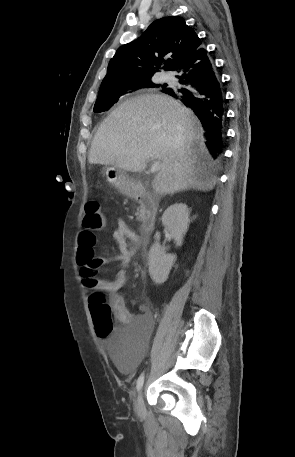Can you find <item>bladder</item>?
<instances>
[{
	"label": "bladder",
	"mask_w": 295,
	"mask_h": 457,
	"mask_svg": "<svg viewBox=\"0 0 295 457\" xmlns=\"http://www.w3.org/2000/svg\"><path fill=\"white\" fill-rule=\"evenodd\" d=\"M106 347H111L110 353L116 367L129 372L136 365L143 364L142 356H146L149 338H106Z\"/></svg>",
	"instance_id": "obj_1"
}]
</instances>
